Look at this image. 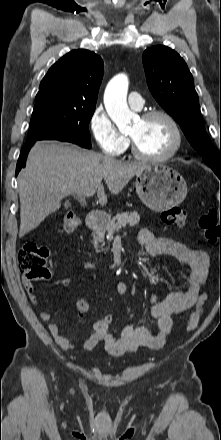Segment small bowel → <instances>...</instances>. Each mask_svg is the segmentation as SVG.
<instances>
[{
    "label": "small bowel",
    "instance_id": "obj_1",
    "mask_svg": "<svg viewBox=\"0 0 221 440\" xmlns=\"http://www.w3.org/2000/svg\"><path fill=\"white\" fill-rule=\"evenodd\" d=\"M137 242L144 247L149 256L167 254L176 257L180 262L179 276L183 277L184 283L173 290L165 298L156 294L150 295V317L157 322L158 331H150L146 327L126 326L121 335L116 338L109 330L110 324H105L103 318L93 324L94 333L83 343V348L91 349L102 343L107 353L120 355L132 352L140 347L150 349L161 348L173 328L172 317L188 313L186 324L187 330H192L198 324L207 296L201 292L208 274L210 261L208 254L203 250H196L178 241L168 238H157L148 229H141ZM23 285L29 301L38 305L39 300L34 292L31 282L23 279ZM117 294L123 296L128 292V285L120 281L116 284ZM41 320L50 321L51 314L42 311L39 314ZM48 329L56 343L63 349L71 350L75 345L66 338L56 323L50 322Z\"/></svg>",
    "mask_w": 221,
    "mask_h": 440
}]
</instances>
